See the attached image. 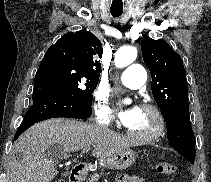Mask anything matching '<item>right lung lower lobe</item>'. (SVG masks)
Listing matches in <instances>:
<instances>
[{
    "label": "right lung lower lobe",
    "mask_w": 211,
    "mask_h": 182,
    "mask_svg": "<svg viewBox=\"0 0 211 182\" xmlns=\"http://www.w3.org/2000/svg\"><path fill=\"white\" fill-rule=\"evenodd\" d=\"M33 105L17 129L15 140L33 124L55 117L84 119L91 116V106L78 102L70 93L60 89L44 74L36 73Z\"/></svg>",
    "instance_id": "98d812e1"
}]
</instances>
